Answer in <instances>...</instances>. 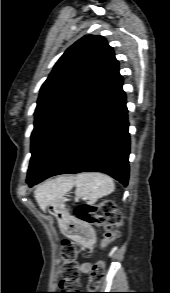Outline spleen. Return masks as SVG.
I'll list each match as a JSON object with an SVG mask.
<instances>
[{"mask_svg":"<svg viewBox=\"0 0 170 293\" xmlns=\"http://www.w3.org/2000/svg\"><path fill=\"white\" fill-rule=\"evenodd\" d=\"M73 184L76 185L75 195L88 200L90 205L99 198L111 194L115 188L113 180L109 176L96 172L78 174L74 178Z\"/></svg>","mask_w":170,"mask_h":293,"instance_id":"1","label":"spleen"}]
</instances>
